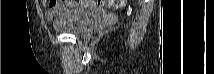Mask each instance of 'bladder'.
Wrapping results in <instances>:
<instances>
[{
	"label": "bladder",
	"instance_id": "obj_1",
	"mask_svg": "<svg viewBox=\"0 0 214 74\" xmlns=\"http://www.w3.org/2000/svg\"><path fill=\"white\" fill-rule=\"evenodd\" d=\"M101 13L90 6H73L66 8L55 19L56 31L73 34L78 37L89 35L99 24Z\"/></svg>",
	"mask_w": 214,
	"mask_h": 74
}]
</instances>
